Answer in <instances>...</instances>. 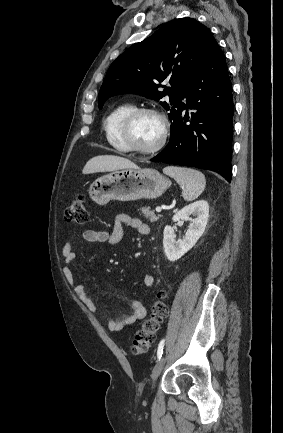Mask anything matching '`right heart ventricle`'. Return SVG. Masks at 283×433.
<instances>
[{"mask_svg": "<svg viewBox=\"0 0 283 433\" xmlns=\"http://www.w3.org/2000/svg\"><path fill=\"white\" fill-rule=\"evenodd\" d=\"M134 108L130 103H124L114 108L104 119L103 128L109 144L118 152L126 153L128 150L119 138V129L124 116Z\"/></svg>", "mask_w": 283, "mask_h": 433, "instance_id": "right-heart-ventricle-1", "label": "right heart ventricle"}]
</instances>
